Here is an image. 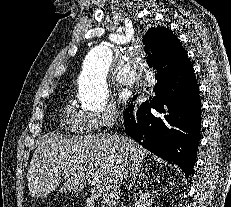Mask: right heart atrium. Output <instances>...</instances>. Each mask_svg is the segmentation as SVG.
<instances>
[{"label": "right heart atrium", "instance_id": "obj_1", "mask_svg": "<svg viewBox=\"0 0 231 207\" xmlns=\"http://www.w3.org/2000/svg\"><path fill=\"white\" fill-rule=\"evenodd\" d=\"M118 116L117 109L112 105H107L100 112L82 113V121L85 129L96 131L112 126Z\"/></svg>", "mask_w": 231, "mask_h": 207}]
</instances>
